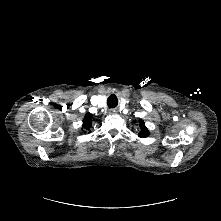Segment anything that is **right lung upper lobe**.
<instances>
[{"label":"right lung upper lobe","mask_w":221,"mask_h":221,"mask_svg":"<svg viewBox=\"0 0 221 221\" xmlns=\"http://www.w3.org/2000/svg\"><path fill=\"white\" fill-rule=\"evenodd\" d=\"M93 115H91L90 113H87L83 119V125L82 128L85 130H89L92 126V122H93Z\"/></svg>","instance_id":"cb5924a9"}]
</instances>
